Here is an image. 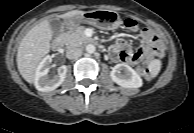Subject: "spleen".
Returning a JSON list of instances; mask_svg holds the SVG:
<instances>
[{
    "label": "spleen",
    "instance_id": "spleen-1",
    "mask_svg": "<svg viewBox=\"0 0 194 133\" xmlns=\"http://www.w3.org/2000/svg\"><path fill=\"white\" fill-rule=\"evenodd\" d=\"M148 68H149L150 77L151 78L156 77L161 69V60H159V59L152 60L149 63Z\"/></svg>",
    "mask_w": 194,
    "mask_h": 133
}]
</instances>
